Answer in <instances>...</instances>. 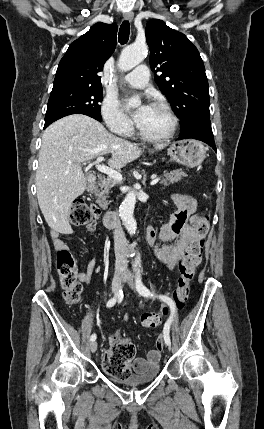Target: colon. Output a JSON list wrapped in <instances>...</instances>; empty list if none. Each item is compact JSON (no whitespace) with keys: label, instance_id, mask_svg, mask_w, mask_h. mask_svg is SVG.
<instances>
[{"label":"colon","instance_id":"5ec220e1","mask_svg":"<svg viewBox=\"0 0 264 429\" xmlns=\"http://www.w3.org/2000/svg\"><path fill=\"white\" fill-rule=\"evenodd\" d=\"M99 210L92 205H88L83 199H77L73 202L70 210V221L75 226L87 224L93 216L97 215ZM209 217L207 214L195 215L192 218L194 228L201 234L208 228ZM203 253V240L190 245L182 260L179 263V277L173 293V299L177 310H182L190 294L191 283L194 279L196 269L201 263ZM56 269L60 285L64 290V297L69 304L76 305L80 303L82 296V285L77 278V266L73 255L67 250H58L56 255ZM168 309L162 308L158 312H146L141 317V323L146 328L158 326ZM156 348L162 350L164 342L162 336L156 340ZM111 353L106 354L102 360L103 370L116 377H126L131 371V363L135 348L131 342L125 339L113 337L111 340Z\"/></svg>","mask_w":264,"mask_h":429}]
</instances>
